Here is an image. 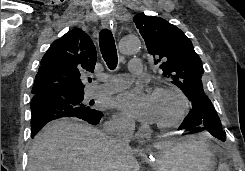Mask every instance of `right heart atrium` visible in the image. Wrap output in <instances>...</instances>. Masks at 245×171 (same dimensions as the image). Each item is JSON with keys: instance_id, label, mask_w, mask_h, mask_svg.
I'll use <instances>...</instances> for the list:
<instances>
[{"instance_id": "d8ad5b80", "label": "right heart atrium", "mask_w": 245, "mask_h": 171, "mask_svg": "<svg viewBox=\"0 0 245 171\" xmlns=\"http://www.w3.org/2000/svg\"><path fill=\"white\" fill-rule=\"evenodd\" d=\"M111 126L117 130L130 131L133 127V124L126 117L122 115H116L111 121Z\"/></svg>"}]
</instances>
